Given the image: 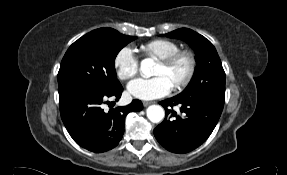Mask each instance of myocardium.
Masks as SVG:
<instances>
[{
	"label": "myocardium",
	"mask_w": 287,
	"mask_h": 175,
	"mask_svg": "<svg viewBox=\"0 0 287 175\" xmlns=\"http://www.w3.org/2000/svg\"><path fill=\"white\" fill-rule=\"evenodd\" d=\"M179 60H185L187 62L188 68L185 75L173 85V89L175 91L184 89L192 81L197 68V60L195 54L190 50L180 49L166 57L158 59V63L168 68L172 67Z\"/></svg>",
	"instance_id": "1"
}]
</instances>
